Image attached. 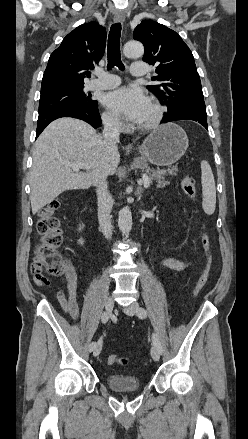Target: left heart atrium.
Masks as SVG:
<instances>
[{"instance_id": "1", "label": "left heart atrium", "mask_w": 248, "mask_h": 439, "mask_svg": "<svg viewBox=\"0 0 248 439\" xmlns=\"http://www.w3.org/2000/svg\"><path fill=\"white\" fill-rule=\"evenodd\" d=\"M103 103L126 120L138 123L149 106V99L138 87H121L107 93Z\"/></svg>"}]
</instances>
